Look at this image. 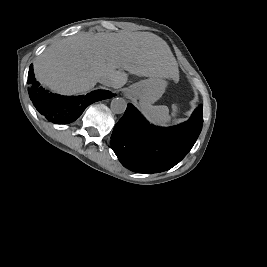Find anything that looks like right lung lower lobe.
I'll return each instance as SVG.
<instances>
[{
	"label": "right lung lower lobe",
	"mask_w": 267,
	"mask_h": 267,
	"mask_svg": "<svg viewBox=\"0 0 267 267\" xmlns=\"http://www.w3.org/2000/svg\"><path fill=\"white\" fill-rule=\"evenodd\" d=\"M28 93L37 111L48 121L55 124H67L75 121L90 104L111 98L116 94L97 90L86 96H60L43 89L36 81L31 65L28 73Z\"/></svg>",
	"instance_id": "1"
}]
</instances>
